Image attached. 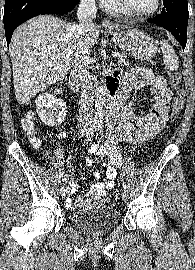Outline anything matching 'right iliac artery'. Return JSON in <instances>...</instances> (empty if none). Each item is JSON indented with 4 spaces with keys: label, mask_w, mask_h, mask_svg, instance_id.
Wrapping results in <instances>:
<instances>
[{
    "label": "right iliac artery",
    "mask_w": 195,
    "mask_h": 270,
    "mask_svg": "<svg viewBox=\"0 0 195 270\" xmlns=\"http://www.w3.org/2000/svg\"><path fill=\"white\" fill-rule=\"evenodd\" d=\"M96 129H97L96 124H93L92 127L90 128L89 132L87 133V137H86V139L84 141V144L91 141L92 137L94 136V133H95ZM67 180H68V175L66 174L64 176L63 181L67 182Z\"/></svg>",
    "instance_id": "82829eb1"
}]
</instances>
